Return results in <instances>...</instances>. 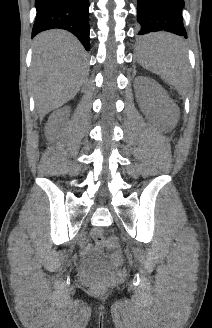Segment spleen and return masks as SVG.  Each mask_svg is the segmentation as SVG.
Listing matches in <instances>:
<instances>
[{
  "mask_svg": "<svg viewBox=\"0 0 212 328\" xmlns=\"http://www.w3.org/2000/svg\"><path fill=\"white\" fill-rule=\"evenodd\" d=\"M147 39L149 46L140 44L137 48L139 63L177 90L186 88L190 75L182 39L169 33L152 34Z\"/></svg>",
  "mask_w": 212,
  "mask_h": 328,
  "instance_id": "1",
  "label": "spleen"
}]
</instances>
